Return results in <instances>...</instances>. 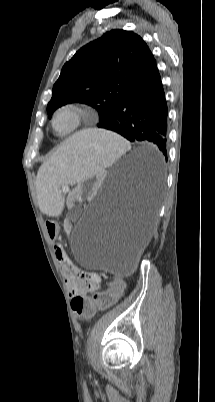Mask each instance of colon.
Segmentation results:
<instances>
[{
    "mask_svg": "<svg viewBox=\"0 0 215 402\" xmlns=\"http://www.w3.org/2000/svg\"><path fill=\"white\" fill-rule=\"evenodd\" d=\"M46 229L51 243H56L59 237V225L50 220L46 223ZM70 270L77 273L84 279L92 277L93 273L70 267ZM126 284L122 279H116L111 283L110 289L106 291H93L91 298L78 295L72 299V308L81 318L92 316L96 309L106 310L116 302L117 298H124Z\"/></svg>",
    "mask_w": 215,
    "mask_h": 402,
    "instance_id": "1",
    "label": "colon"
}]
</instances>
